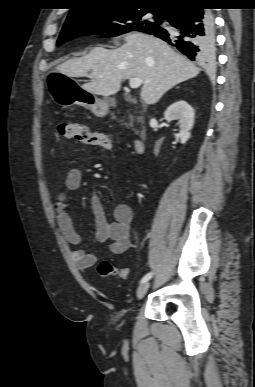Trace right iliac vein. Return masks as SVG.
I'll return each mask as SVG.
<instances>
[{
	"label": "right iliac vein",
	"instance_id": "obj_1",
	"mask_svg": "<svg viewBox=\"0 0 255 387\" xmlns=\"http://www.w3.org/2000/svg\"><path fill=\"white\" fill-rule=\"evenodd\" d=\"M149 286H150V284L148 282H145L138 287V289L136 291L137 299L140 300L145 296V294L147 293V291L149 289Z\"/></svg>",
	"mask_w": 255,
	"mask_h": 387
}]
</instances>
